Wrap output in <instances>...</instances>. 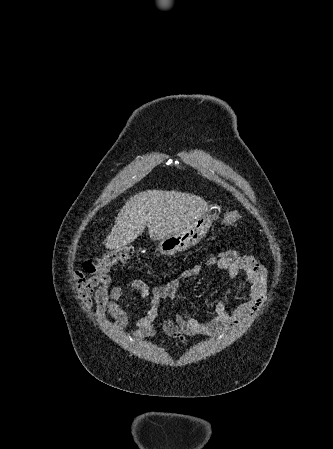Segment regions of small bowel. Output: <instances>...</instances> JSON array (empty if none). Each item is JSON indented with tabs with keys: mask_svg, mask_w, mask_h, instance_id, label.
Masks as SVG:
<instances>
[{
	"mask_svg": "<svg viewBox=\"0 0 333 449\" xmlns=\"http://www.w3.org/2000/svg\"><path fill=\"white\" fill-rule=\"evenodd\" d=\"M209 263L226 271L230 277H235L243 271L249 288L248 297L233 312H229L225 302L219 300L215 305L213 318L207 323L199 322L186 313H179L174 319L164 320L162 329L169 340L185 344L187 336H208L233 331L262 305L266 297L267 271L255 257L229 250L214 256ZM199 272L200 266L195 265L166 284L152 289L139 279L132 280L126 286L116 285L107 274L87 276L85 270L76 271L73 279L84 306L90 308L95 304V316L109 323L114 329L124 328L128 323V314L120 306L119 300L127 290L137 291L141 299L148 300L149 309L145 314L136 317L135 335L137 338H151L156 333L155 327L162 301L175 300L181 282L198 275Z\"/></svg>",
	"mask_w": 333,
	"mask_h": 449,
	"instance_id": "1",
	"label": "small bowel"
}]
</instances>
